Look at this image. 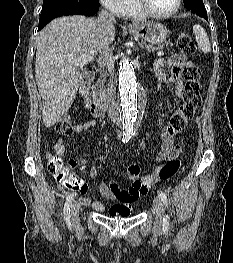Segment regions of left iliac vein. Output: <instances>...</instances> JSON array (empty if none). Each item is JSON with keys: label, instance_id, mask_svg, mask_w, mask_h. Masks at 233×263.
Segmentation results:
<instances>
[{"label": "left iliac vein", "instance_id": "left-iliac-vein-1", "mask_svg": "<svg viewBox=\"0 0 233 263\" xmlns=\"http://www.w3.org/2000/svg\"><path fill=\"white\" fill-rule=\"evenodd\" d=\"M153 207L156 214V229H161L163 226V218H164V206L160 197H155L153 200Z\"/></svg>", "mask_w": 233, "mask_h": 263}]
</instances>
